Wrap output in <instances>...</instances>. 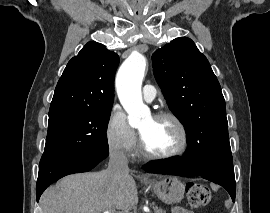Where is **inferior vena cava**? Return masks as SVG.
<instances>
[{"label": "inferior vena cava", "instance_id": "602c4592", "mask_svg": "<svg viewBox=\"0 0 270 213\" xmlns=\"http://www.w3.org/2000/svg\"><path fill=\"white\" fill-rule=\"evenodd\" d=\"M107 171L114 177H121L129 174L128 160L122 151L112 150L110 152Z\"/></svg>", "mask_w": 270, "mask_h": 213}]
</instances>
